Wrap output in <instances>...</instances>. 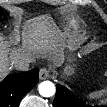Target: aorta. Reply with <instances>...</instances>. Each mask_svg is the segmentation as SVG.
I'll use <instances>...</instances> for the list:
<instances>
[{
	"label": "aorta",
	"mask_w": 107,
	"mask_h": 107,
	"mask_svg": "<svg viewBox=\"0 0 107 107\" xmlns=\"http://www.w3.org/2000/svg\"><path fill=\"white\" fill-rule=\"evenodd\" d=\"M38 90L41 96L51 97L55 94L56 88L51 81H44L39 84Z\"/></svg>",
	"instance_id": "1"
}]
</instances>
